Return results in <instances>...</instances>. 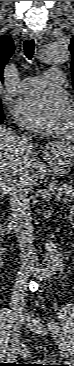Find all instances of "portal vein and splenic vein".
<instances>
[{
  "instance_id": "1",
  "label": "portal vein and splenic vein",
  "mask_w": 74,
  "mask_h": 366,
  "mask_svg": "<svg viewBox=\"0 0 74 366\" xmlns=\"http://www.w3.org/2000/svg\"><path fill=\"white\" fill-rule=\"evenodd\" d=\"M60 193H62V191H59V193H57L56 196L60 197Z\"/></svg>"
}]
</instances>
